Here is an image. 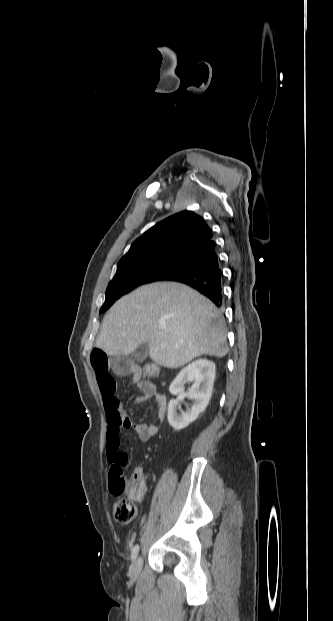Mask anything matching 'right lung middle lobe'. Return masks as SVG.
<instances>
[{
  "label": "right lung middle lobe",
  "mask_w": 333,
  "mask_h": 621,
  "mask_svg": "<svg viewBox=\"0 0 333 621\" xmlns=\"http://www.w3.org/2000/svg\"><path fill=\"white\" fill-rule=\"evenodd\" d=\"M185 258L161 257L135 262L118 263L117 272L106 290L105 303L100 313L106 311L121 296L142 284L163 280L173 273Z\"/></svg>",
  "instance_id": "1"
}]
</instances>
